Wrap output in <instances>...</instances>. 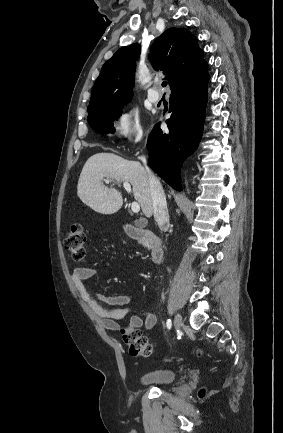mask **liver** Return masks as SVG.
I'll list each match as a JSON object with an SVG mask.
<instances>
[{
    "mask_svg": "<svg viewBox=\"0 0 283 433\" xmlns=\"http://www.w3.org/2000/svg\"><path fill=\"white\" fill-rule=\"evenodd\" d=\"M104 178L111 182H130L135 200L145 217H152L153 200L146 168L138 160H125L113 152H97L86 160L77 184V194L84 204L101 212L113 214L121 208L123 196L114 186H105Z\"/></svg>",
    "mask_w": 283,
    "mask_h": 433,
    "instance_id": "obj_1",
    "label": "liver"
}]
</instances>
